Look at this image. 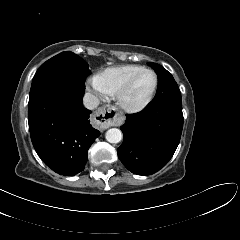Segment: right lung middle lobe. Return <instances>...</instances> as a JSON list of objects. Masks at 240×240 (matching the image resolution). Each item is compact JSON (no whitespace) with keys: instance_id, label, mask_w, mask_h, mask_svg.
Listing matches in <instances>:
<instances>
[{"instance_id":"right-lung-middle-lobe-1","label":"right lung middle lobe","mask_w":240,"mask_h":240,"mask_svg":"<svg viewBox=\"0 0 240 240\" xmlns=\"http://www.w3.org/2000/svg\"><path fill=\"white\" fill-rule=\"evenodd\" d=\"M88 64L70 51L62 52L43 63L37 70L30 90L29 103L55 88L85 90Z\"/></svg>"}]
</instances>
